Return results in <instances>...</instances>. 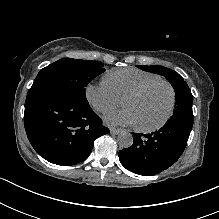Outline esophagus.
<instances>
[{"label":"esophagus","instance_id":"34e87169","mask_svg":"<svg viewBox=\"0 0 219 219\" xmlns=\"http://www.w3.org/2000/svg\"><path fill=\"white\" fill-rule=\"evenodd\" d=\"M121 132L120 128H111L110 133L113 135H118Z\"/></svg>","mask_w":219,"mask_h":219}]
</instances>
